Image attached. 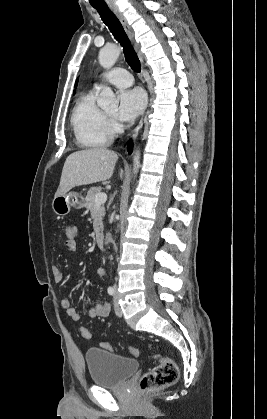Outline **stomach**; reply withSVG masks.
<instances>
[{"instance_id": "stomach-1", "label": "stomach", "mask_w": 267, "mask_h": 419, "mask_svg": "<svg viewBox=\"0 0 267 419\" xmlns=\"http://www.w3.org/2000/svg\"><path fill=\"white\" fill-rule=\"evenodd\" d=\"M52 210L58 216L67 215L71 208L81 209L85 206V198L78 192H69L55 196L52 200Z\"/></svg>"}]
</instances>
